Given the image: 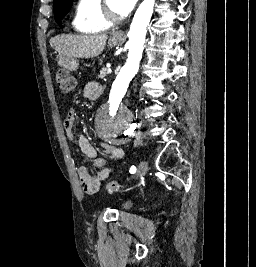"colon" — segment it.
<instances>
[{
	"instance_id": "5ec220e1",
	"label": "colon",
	"mask_w": 256,
	"mask_h": 267,
	"mask_svg": "<svg viewBox=\"0 0 256 267\" xmlns=\"http://www.w3.org/2000/svg\"><path fill=\"white\" fill-rule=\"evenodd\" d=\"M56 81L59 88L62 91H71L76 86V79L71 73H66V71L56 72ZM123 186L118 181H112L105 185V192L112 193L122 190Z\"/></svg>"
}]
</instances>
